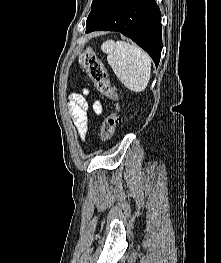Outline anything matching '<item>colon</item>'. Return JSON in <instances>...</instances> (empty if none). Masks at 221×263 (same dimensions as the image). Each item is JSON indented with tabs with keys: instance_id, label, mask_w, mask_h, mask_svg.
<instances>
[{
	"instance_id": "1",
	"label": "colon",
	"mask_w": 221,
	"mask_h": 263,
	"mask_svg": "<svg viewBox=\"0 0 221 263\" xmlns=\"http://www.w3.org/2000/svg\"><path fill=\"white\" fill-rule=\"evenodd\" d=\"M80 63L87 72L95 89L107 99L112 101L116 100L117 95L111 85L108 72L95 52L92 50L85 51ZM118 121V108L115 106L104 119L101 129V139L103 141H108L114 136Z\"/></svg>"
}]
</instances>
